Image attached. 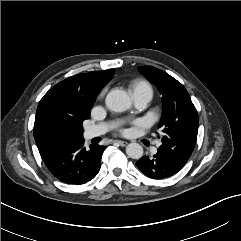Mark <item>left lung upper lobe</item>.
<instances>
[{
	"mask_svg": "<svg viewBox=\"0 0 241 241\" xmlns=\"http://www.w3.org/2000/svg\"><path fill=\"white\" fill-rule=\"evenodd\" d=\"M139 71L162 95L163 112L158 125L162 145L158 152L183 167L196 144L199 125L196 108L184 86L166 72L152 66H140Z\"/></svg>",
	"mask_w": 241,
	"mask_h": 241,
	"instance_id": "5c2ea615",
	"label": "left lung upper lobe"
}]
</instances>
